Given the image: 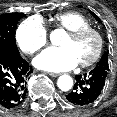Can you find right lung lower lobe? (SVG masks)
Returning a JSON list of instances; mask_svg holds the SVG:
<instances>
[{"label":"right lung lower lobe","mask_w":117,"mask_h":117,"mask_svg":"<svg viewBox=\"0 0 117 117\" xmlns=\"http://www.w3.org/2000/svg\"><path fill=\"white\" fill-rule=\"evenodd\" d=\"M33 71L18 51H0V109H14L26 96V80Z\"/></svg>","instance_id":"right-lung-lower-lobe-1"}]
</instances>
